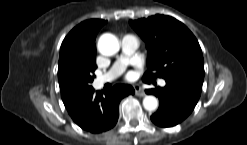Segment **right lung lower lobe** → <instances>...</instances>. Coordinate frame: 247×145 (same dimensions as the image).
I'll return each mask as SVG.
<instances>
[{
    "label": "right lung lower lobe",
    "mask_w": 247,
    "mask_h": 145,
    "mask_svg": "<svg viewBox=\"0 0 247 145\" xmlns=\"http://www.w3.org/2000/svg\"><path fill=\"white\" fill-rule=\"evenodd\" d=\"M130 94H134L132 86L118 84L105 95L95 93L92 88L63 102L78 126L91 133H101L115 126L119 102Z\"/></svg>",
    "instance_id": "1"
}]
</instances>
